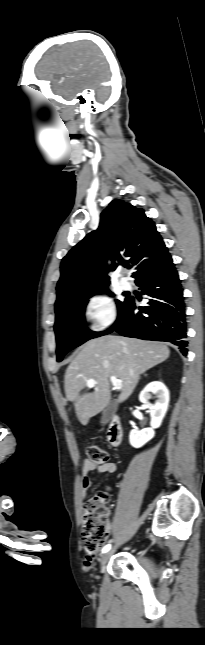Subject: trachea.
<instances>
[{
    "label": "trachea",
    "mask_w": 205,
    "mask_h": 645,
    "mask_svg": "<svg viewBox=\"0 0 205 645\" xmlns=\"http://www.w3.org/2000/svg\"><path fill=\"white\" fill-rule=\"evenodd\" d=\"M125 267H126V268H129V266H128V265H125Z\"/></svg>",
    "instance_id": "3493384b"
}]
</instances>
